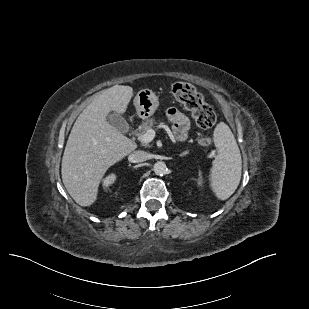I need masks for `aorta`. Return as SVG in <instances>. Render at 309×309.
Here are the masks:
<instances>
[{"label": "aorta", "mask_w": 309, "mask_h": 309, "mask_svg": "<svg viewBox=\"0 0 309 309\" xmlns=\"http://www.w3.org/2000/svg\"><path fill=\"white\" fill-rule=\"evenodd\" d=\"M153 170L156 175L163 176L167 172V166L164 162L158 161L154 164Z\"/></svg>", "instance_id": "762f6f07"}]
</instances>
